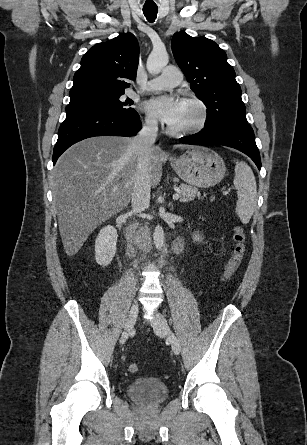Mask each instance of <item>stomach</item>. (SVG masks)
<instances>
[{"label":"stomach","mask_w":307,"mask_h":445,"mask_svg":"<svg viewBox=\"0 0 307 445\" xmlns=\"http://www.w3.org/2000/svg\"><path fill=\"white\" fill-rule=\"evenodd\" d=\"M171 166L184 182L200 188L218 184L226 172L223 158L206 146H191L185 154L171 160Z\"/></svg>","instance_id":"1"}]
</instances>
